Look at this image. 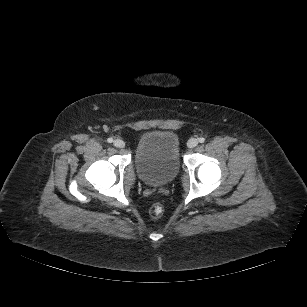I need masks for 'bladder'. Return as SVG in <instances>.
I'll return each mask as SVG.
<instances>
[{
	"instance_id": "31cf9c89",
	"label": "bladder",
	"mask_w": 307,
	"mask_h": 307,
	"mask_svg": "<svg viewBox=\"0 0 307 307\" xmlns=\"http://www.w3.org/2000/svg\"><path fill=\"white\" fill-rule=\"evenodd\" d=\"M134 163L143 183L156 187L167 185L180 170L177 135L166 130L146 132L137 142Z\"/></svg>"
}]
</instances>
